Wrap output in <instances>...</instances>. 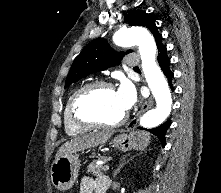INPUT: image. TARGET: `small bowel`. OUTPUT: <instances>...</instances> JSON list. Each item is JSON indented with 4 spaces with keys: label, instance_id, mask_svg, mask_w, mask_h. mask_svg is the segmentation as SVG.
Masks as SVG:
<instances>
[{
    "label": "small bowel",
    "instance_id": "small-bowel-1",
    "mask_svg": "<svg viewBox=\"0 0 221 193\" xmlns=\"http://www.w3.org/2000/svg\"><path fill=\"white\" fill-rule=\"evenodd\" d=\"M109 186V180L106 177H98L93 179L91 177H84L81 183L80 193H96L97 190H104Z\"/></svg>",
    "mask_w": 221,
    "mask_h": 193
}]
</instances>
